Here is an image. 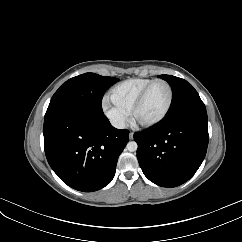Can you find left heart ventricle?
Returning a JSON list of instances; mask_svg holds the SVG:
<instances>
[{"instance_id":"1","label":"left heart ventricle","mask_w":242,"mask_h":242,"mask_svg":"<svg viewBox=\"0 0 242 242\" xmlns=\"http://www.w3.org/2000/svg\"><path fill=\"white\" fill-rule=\"evenodd\" d=\"M168 98L167 86L163 83L155 84L137 111L136 119L141 122H149L158 118L164 111Z\"/></svg>"}]
</instances>
